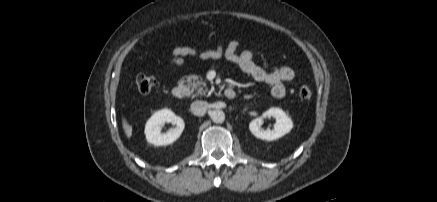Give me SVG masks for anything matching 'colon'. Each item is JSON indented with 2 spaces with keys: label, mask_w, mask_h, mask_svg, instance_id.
<instances>
[{
  "label": "colon",
  "mask_w": 437,
  "mask_h": 202,
  "mask_svg": "<svg viewBox=\"0 0 437 202\" xmlns=\"http://www.w3.org/2000/svg\"><path fill=\"white\" fill-rule=\"evenodd\" d=\"M156 85V78L148 74H139L136 77V86L140 93H149ZM312 96V90L308 86H302L299 89V97L302 100H309Z\"/></svg>",
  "instance_id": "obj_1"
}]
</instances>
